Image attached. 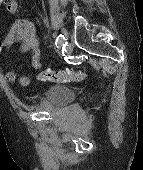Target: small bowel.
<instances>
[{
    "label": "small bowel",
    "mask_w": 143,
    "mask_h": 170,
    "mask_svg": "<svg viewBox=\"0 0 143 170\" xmlns=\"http://www.w3.org/2000/svg\"><path fill=\"white\" fill-rule=\"evenodd\" d=\"M5 10L14 14L17 11L18 3L16 0H7L5 4H2ZM21 43V51L29 53V59L31 61L32 69L37 70L40 67L41 49L36 35L34 24L31 20L26 18L17 19L11 26L8 33L5 35L0 43V54L4 48L12 46L14 43ZM4 78L8 82L16 81V73L14 71H7L4 73ZM23 79H27L29 84L30 74H26L19 79L21 84ZM25 85V86H27Z\"/></svg>",
    "instance_id": "obj_1"
}]
</instances>
